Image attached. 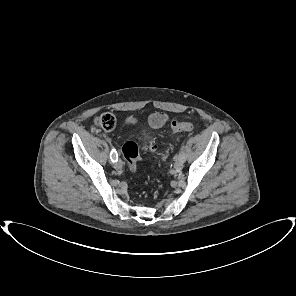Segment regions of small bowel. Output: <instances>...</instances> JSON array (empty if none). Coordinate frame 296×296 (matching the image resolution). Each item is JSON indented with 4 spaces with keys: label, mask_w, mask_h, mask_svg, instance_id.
I'll return each instance as SVG.
<instances>
[{
    "label": "small bowel",
    "mask_w": 296,
    "mask_h": 296,
    "mask_svg": "<svg viewBox=\"0 0 296 296\" xmlns=\"http://www.w3.org/2000/svg\"><path fill=\"white\" fill-rule=\"evenodd\" d=\"M169 120V117L166 113L164 112H156L154 114H152L149 117V125L154 128V129H158L161 128L163 125H165L167 123V121ZM129 122L132 124L136 123V119L134 118H130Z\"/></svg>",
    "instance_id": "1"
}]
</instances>
